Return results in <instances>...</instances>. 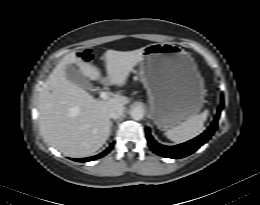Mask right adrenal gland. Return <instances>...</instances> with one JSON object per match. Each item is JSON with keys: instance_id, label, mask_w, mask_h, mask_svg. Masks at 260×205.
<instances>
[{"instance_id": "obj_1", "label": "right adrenal gland", "mask_w": 260, "mask_h": 205, "mask_svg": "<svg viewBox=\"0 0 260 205\" xmlns=\"http://www.w3.org/2000/svg\"><path fill=\"white\" fill-rule=\"evenodd\" d=\"M112 127H113V123L111 122V128H112ZM111 130H112V129H111ZM111 130H110V131H111ZM110 134H111V132H110Z\"/></svg>"}]
</instances>
